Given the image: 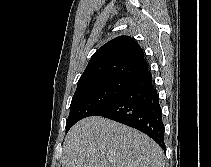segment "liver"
I'll return each instance as SVG.
<instances>
[{"label":"liver","mask_w":211,"mask_h":167,"mask_svg":"<svg viewBox=\"0 0 211 167\" xmlns=\"http://www.w3.org/2000/svg\"><path fill=\"white\" fill-rule=\"evenodd\" d=\"M62 167H166L163 150L147 135L98 116L68 132Z\"/></svg>","instance_id":"6515ba94"}]
</instances>
